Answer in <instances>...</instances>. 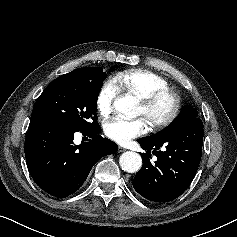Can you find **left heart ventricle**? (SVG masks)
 Returning <instances> with one entry per match:
<instances>
[{
    "instance_id": "left-heart-ventricle-1",
    "label": "left heart ventricle",
    "mask_w": 237,
    "mask_h": 237,
    "mask_svg": "<svg viewBox=\"0 0 237 237\" xmlns=\"http://www.w3.org/2000/svg\"><path fill=\"white\" fill-rule=\"evenodd\" d=\"M168 107H169V104L166 101H164L156 108L155 112L156 114H163L164 112L167 111ZM138 115H144V109L141 103L139 104Z\"/></svg>"
}]
</instances>
